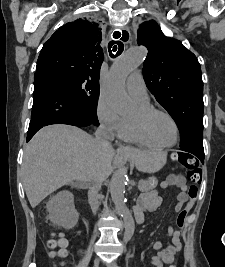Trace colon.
Instances as JSON below:
<instances>
[{
    "mask_svg": "<svg viewBox=\"0 0 225 267\" xmlns=\"http://www.w3.org/2000/svg\"><path fill=\"white\" fill-rule=\"evenodd\" d=\"M172 159L186 169L187 178L190 182V186L187 191L188 202L182 209L179 210L176 220L177 226L181 232L188 213L198 197L199 186L201 185L203 180V169L199 160L195 156L187 152H174L172 154ZM47 246L49 249H51V257L64 258L67 255V243L60 235H54L51 239H49L47 241ZM171 267H176V264H171Z\"/></svg>",
    "mask_w": 225,
    "mask_h": 267,
    "instance_id": "1",
    "label": "colon"
}]
</instances>
